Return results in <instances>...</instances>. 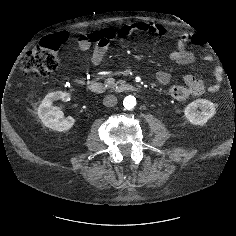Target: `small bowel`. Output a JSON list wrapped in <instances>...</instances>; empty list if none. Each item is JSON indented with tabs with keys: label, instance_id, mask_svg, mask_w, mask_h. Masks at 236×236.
Segmentation results:
<instances>
[{
	"label": "small bowel",
	"instance_id": "obj_1",
	"mask_svg": "<svg viewBox=\"0 0 236 236\" xmlns=\"http://www.w3.org/2000/svg\"><path fill=\"white\" fill-rule=\"evenodd\" d=\"M142 32L156 37H167L169 35L168 29L155 22H132L120 26L116 31L117 38H125L133 33ZM57 37L64 43L68 35L61 32ZM188 44H196V36L190 33H181L178 36L176 48L170 54V59L178 65H188L195 60V54L188 49ZM92 41L88 34H81L78 36L77 42L73 49L77 52H84L91 48ZM109 41L101 39L96 42L90 57V64L92 66L100 65L107 53ZM156 78L159 83L168 85L171 80V75L166 71H158ZM184 85H170L168 89L169 95L178 102H183L192 96H200L206 91L217 92L220 89L222 81V70L216 68L214 71V80L209 85H206L203 80L192 75L185 74L183 76Z\"/></svg>",
	"mask_w": 236,
	"mask_h": 236
}]
</instances>
